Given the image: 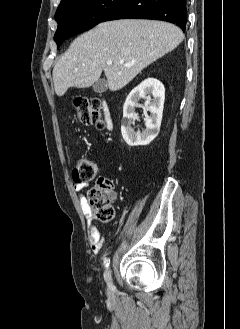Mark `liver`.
Returning a JSON list of instances; mask_svg holds the SVG:
<instances>
[{"label":"liver","instance_id":"1","mask_svg":"<svg viewBox=\"0 0 240 329\" xmlns=\"http://www.w3.org/2000/svg\"><path fill=\"white\" fill-rule=\"evenodd\" d=\"M183 39L177 26L162 21L128 19L100 23L77 37L54 66L55 92L63 96L70 87H90L102 71L110 91L120 90ZM108 60L112 65H107Z\"/></svg>","mask_w":240,"mask_h":329}]
</instances>
